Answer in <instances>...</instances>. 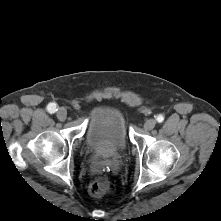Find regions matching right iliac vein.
Here are the masks:
<instances>
[{
    "label": "right iliac vein",
    "mask_w": 221,
    "mask_h": 221,
    "mask_svg": "<svg viewBox=\"0 0 221 221\" xmlns=\"http://www.w3.org/2000/svg\"><path fill=\"white\" fill-rule=\"evenodd\" d=\"M57 117L59 120L64 121L67 117V111L64 108H59L57 111Z\"/></svg>",
    "instance_id": "right-iliac-vein-1"
}]
</instances>
